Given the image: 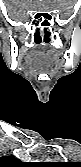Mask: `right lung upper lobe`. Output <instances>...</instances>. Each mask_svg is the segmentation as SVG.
<instances>
[{"mask_svg":"<svg viewBox=\"0 0 81 167\" xmlns=\"http://www.w3.org/2000/svg\"><path fill=\"white\" fill-rule=\"evenodd\" d=\"M1 159H2L3 165L6 167H22L26 165V164H22V162H20L18 159L10 156H4Z\"/></svg>","mask_w":81,"mask_h":167,"instance_id":"obj_1","label":"right lung upper lobe"}]
</instances>
